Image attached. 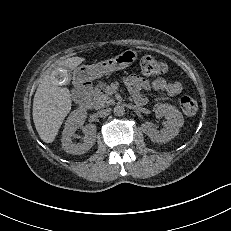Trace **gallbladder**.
Segmentation results:
<instances>
[{"label":"gallbladder","mask_w":231,"mask_h":231,"mask_svg":"<svg viewBox=\"0 0 231 231\" xmlns=\"http://www.w3.org/2000/svg\"><path fill=\"white\" fill-rule=\"evenodd\" d=\"M51 81L56 86H67L72 81V74L63 66H56L51 71Z\"/></svg>","instance_id":"obj_1"}]
</instances>
